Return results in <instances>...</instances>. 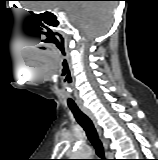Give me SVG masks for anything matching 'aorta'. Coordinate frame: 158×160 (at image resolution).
<instances>
[{
  "mask_svg": "<svg viewBox=\"0 0 158 160\" xmlns=\"http://www.w3.org/2000/svg\"><path fill=\"white\" fill-rule=\"evenodd\" d=\"M92 152L88 146H79L73 154L72 159H90Z\"/></svg>",
  "mask_w": 158,
  "mask_h": 160,
  "instance_id": "1",
  "label": "aorta"
}]
</instances>
